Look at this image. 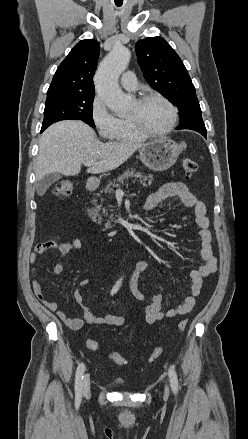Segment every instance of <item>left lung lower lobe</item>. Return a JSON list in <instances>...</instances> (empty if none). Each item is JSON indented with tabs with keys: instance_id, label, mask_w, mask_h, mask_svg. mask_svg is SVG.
<instances>
[{
	"instance_id": "left-lung-lower-lobe-1",
	"label": "left lung lower lobe",
	"mask_w": 248,
	"mask_h": 439,
	"mask_svg": "<svg viewBox=\"0 0 248 439\" xmlns=\"http://www.w3.org/2000/svg\"><path fill=\"white\" fill-rule=\"evenodd\" d=\"M201 134H202L204 137H206V132H201Z\"/></svg>"
}]
</instances>
